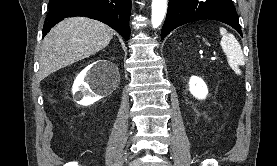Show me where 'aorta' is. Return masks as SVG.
I'll list each match as a JSON object with an SVG mask.
<instances>
[{
  "mask_svg": "<svg viewBox=\"0 0 277 166\" xmlns=\"http://www.w3.org/2000/svg\"><path fill=\"white\" fill-rule=\"evenodd\" d=\"M167 11V0H152L151 23L153 28L161 25Z\"/></svg>",
  "mask_w": 277,
  "mask_h": 166,
  "instance_id": "obj_1",
  "label": "aorta"
}]
</instances>
